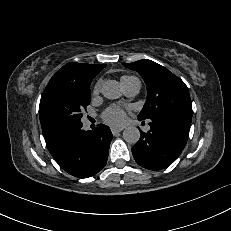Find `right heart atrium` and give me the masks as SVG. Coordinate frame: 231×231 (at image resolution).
Wrapping results in <instances>:
<instances>
[{"label":"right heart atrium","mask_w":231,"mask_h":231,"mask_svg":"<svg viewBox=\"0 0 231 231\" xmlns=\"http://www.w3.org/2000/svg\"><path fill=\"white\" fill-rule=\"evenodd\" d=\"M101 89V81H97L96 84L93 87V94L97 95L100 92Z\"/></svg>","instance_id":"d8ad5b80"}]
</instances>
